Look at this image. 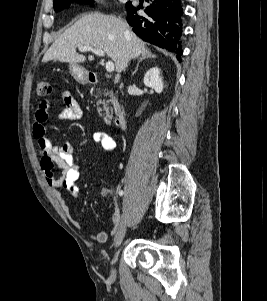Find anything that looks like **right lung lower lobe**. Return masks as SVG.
Here are the masks:
<instances>
[{"label": "right lung lower lobe", "mask_w": 267, "mask_h": 301, "mask_svg": "<svg viewBox=\"0 0 267 301\" xmlns=\"http://www.w3.org/2000/svg\"><path fill=\"white\" fill-rule=\"evenodd\" d=\"M149 3L143 11L138 13L140 7L126 4L127 22L133 31L144 41L161 48L177 53L181 61L182 47L180 36L182 33L181 0H146Z\"/></svg>", "instance_id": "right-lung-lower-lobe-1"}]
</instances>
